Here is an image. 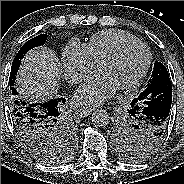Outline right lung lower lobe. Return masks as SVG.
Listing matches in <instances>:
<instances>
[{
  "mask_svg": "<svg viewBox=\"0 0 184 184\" xmlns=\"http://www.w3.org/2000/svg\"><path fill=\"white\" fill-rule=\"evenodd\" d=\"M15 95L13 97V102L16 106V104L19 103V99L17 95L18 92L14 91ZM24 105L23 112L17 111V113L14 114V121L15 126L19 131H22V133H25L28 136H35L39 132L40 126L43 124V120L51 113L55 111H62L61 106L66 102V99L64 98H58V99H51L48 102L45 103H32L28 102L26 100H22ZM18 108V107H14Z\"/></svg>",
  "mask_w": 184,
  "mask_h": 184,
  "instance_id": "1",
  "label": "right lung lower lobe"
}]
</instances>
